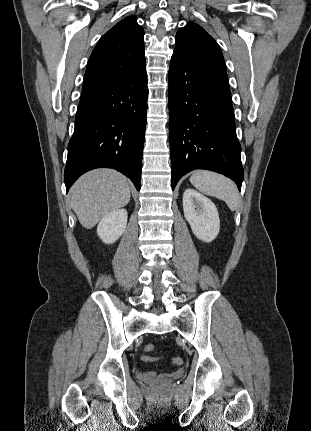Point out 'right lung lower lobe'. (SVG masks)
Returning <instances> with one entry per match:
<instances>
[{"label":"right lung lower lobe","instance_id":"98d812e1","mask_svg":"<svg viewBox=\"0 0 311 431\" xmlns=\"http://www.w3.org/2000/svg\"><path fill=\"white\" fill-rule=\"evenodd\" d=\"M147 74L82 92L68 144L64 182L68 192L83 173L109 167L140 190L147 112Z\"/></svg>","mask_w":311,"mask_h":431}]
</instances>
